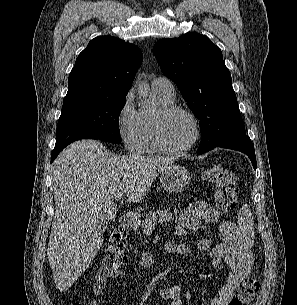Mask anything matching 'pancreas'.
Returning <instances> with one entry per match:
<instances>
[{
    "mask_svg": "<svg viewBox=\"0 0 297 305\" xmlns=\"http://www.w3.org/2000/svg\"><path fill=\"white\" fill-rule=\"evenodd\" d=\"M172 219V213L168 209L149 212L142 223V231L150 235L157 222H165Z\"/></svg>",
    "mask_w": 297,
    "mask_h": 305,
    "instance_id": "1",
    "label": "pancreas"
}]
</instances>
